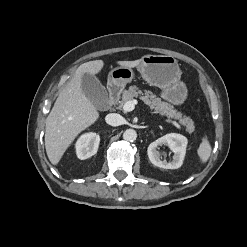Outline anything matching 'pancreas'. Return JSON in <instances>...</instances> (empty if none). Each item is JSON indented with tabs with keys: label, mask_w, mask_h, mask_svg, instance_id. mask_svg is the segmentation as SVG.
Wrapping results in <instances>:
<instances>
[{
	"label": "pancreas",
	"mask_w": 247,
	"mask_h": 247,
	"mask_svg": "<svg viewBox=\"0 0 247 247\" xmlns=\"http://www.w3.org/2000/svg\"><path fill=\"white\" fill-rule=\"evenodd\" d=\"M135 97H140V99L149 105L151 109H154L155 112L165 115L168 118L178 119L179 122L186 127L187 132L192 133L194 131L195 126L191 118L186 116L182 117V114L177 112L171 104L163 102L149 90H144L143 93L142 90L135 85L130 86L128 90H124L119 107H123L126 102L133 100Z\"/></svg>",
	"instance_id": "pancreas-1"
}]
</instances>
